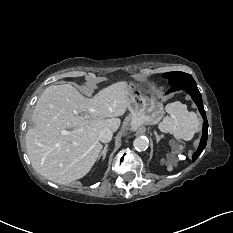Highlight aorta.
I'll use <instances>...</instances> for the list:
<instances>
[{"label":"aorta","mask_w":233,"mask_h":233,"mask_svg":"<svg viewBox=\"0 0 233 233\" xmlns=\"http://www.w3.org/2000/svg\"><path fill=\"white\" fill-rule=\"evenodd\" d=\"M133 146L137 151H145L149 146V140L145 136L135 138Z\"/></svg>","instance_id":"1"}]
</instances>
